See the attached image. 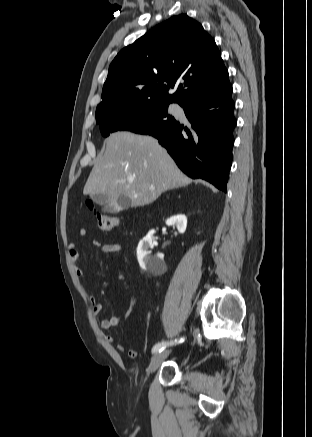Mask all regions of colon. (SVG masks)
Listing matches in <instances>:
<instances>
[{
  "mask_svg": "<svg viewBox=\"0 0 312 437\" xmlns=\"http://www.w3.org/2000/svg\"><path fill=\"white\" fill-rule=\"evenodd\" d=\"M88 207L93 213V220L102 231H110L115 228L119 223L118 216L114 214H107L99 212L91 201L87 202Z\"/></svg>",
  "mask_w": 312,
  "mask_h": 437,
  "instance_id": "5ec220e1",
  "label": "colon"
}]
</instances>
